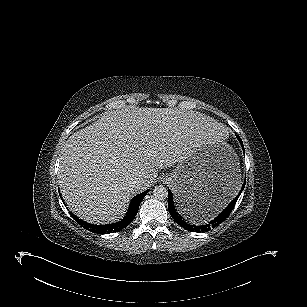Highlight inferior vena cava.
Segmentation results:
<instances>
[{
    "instance_id": "inferior-vena-cava-1",
    "label": "inferior vena cava",
    "mask_w": 307,
    "mask_h": 307,
    "mask_svg": "<svg viewBox=\"0 0 307 307\" xmlns=\"http://www.w3.org/2000/svg\"><path fill=\"white\" fill-rule=\"evenodd\" d=\"M144 183V180L143 179H133L131 182H130V185L133 187V188H137L138 186H140L141 184Z\"/></svg>"
}]
</instances>
